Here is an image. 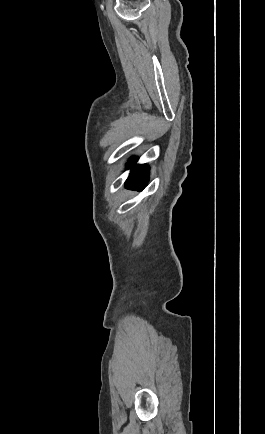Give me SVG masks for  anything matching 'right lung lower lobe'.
Here are the masks:
<instances>
[{
	"label": "right lung lower lobe",
	"mask_w": 265,
	"mask_h": 434,
	"mask_svg": "<svg viewBox=\"0 0 265 434\" xmlns=\"http://www.w3.org/2000/svg\"><path fill=\"white\" fill-rule=\"evenodd\" d=\"M137 158H133L127 164V167L132 168L129 178L126 181L127 188L134 190H142L148 181V166L135 165Z\"/></svg>",
	"instance_id": "98d812e1"
}]
</instances>
